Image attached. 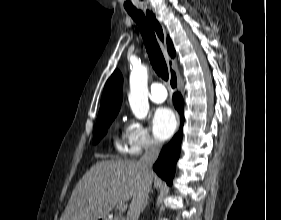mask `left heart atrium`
Instances as JSON below:
<instances>
[{
	"label": "left heart atrium",
	"instance_id": "1",
	"mask_svg": "<svg viewBox=\"0 0 281 220\" xmlns=\"http://www.w3.org/2000/svg\"><path fill=\"white\" fill-rule=\"evenodd\" d=\"M152 128L154 135L165 140L169 138L176 128V118L173 112L167 107L158 108L152 118Z\"/></svg>",
	"mask_w": 281,
	"mask_h": 220
}]
</instances>
